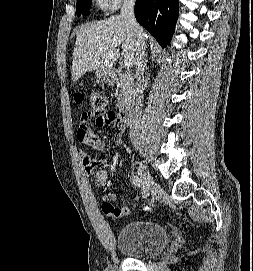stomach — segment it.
Instances as JSON below:
<instances>
[{"label":"stomach","instance_id":"obj_1","mask_svg":"<svg viewBox=\"0 0 253 271\" xmlns=\"http://www.w3.org/2000/svg\"><path fill=\"white\" fill-rule=\"evenodd\" d=\"M96 75L98 79L103 83H113L114 82V75L111 70H96Z\"/></svg>","mask_w":253,"mask_h":271}]
</instances>
